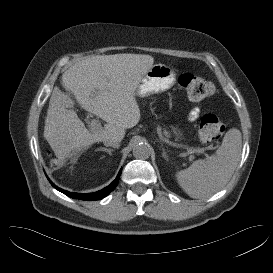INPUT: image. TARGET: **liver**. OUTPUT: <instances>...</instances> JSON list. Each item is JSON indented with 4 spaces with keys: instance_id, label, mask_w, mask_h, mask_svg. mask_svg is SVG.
I'll list each match as a JSON object with an SVG mask.
<instances>
[{
    "instance_id": "obj_1",
    "label": "liver",
    "mask_w": 273,
    "mask_h": 273,
    "mask_svg": "<svg viewBox=\"0 0 273 273\" xmlns=\"http://www.w3.org/2000/svg\"><path fill=\"white\" fill-rule=\"evenodd\" d=\"M154 58L142 54L88 56L66 70L63 86L79 105L107 122L98 131H89L71 109L74 102L54 87L45 120L44 138L56 157L64 161L106 138L121 141L125 130L140 120L136 88L153 66Z\"/></svg>"
}]
</instances>
